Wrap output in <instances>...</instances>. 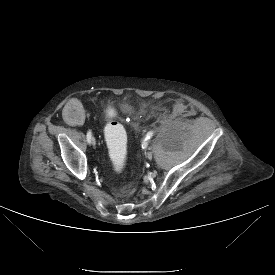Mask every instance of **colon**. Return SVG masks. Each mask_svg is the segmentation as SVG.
<instances>
[{
    "mask_svg": "<svg viewBox=\"0 0 275 275\" xmlns=\"http://www.w3.org/2000/svg\"><path fill=\"white\" fill-rule=\"evenodd\" d=\"M105 134L112 167L115 172H121L127 148L125 132L119 124L109 122L105 127ZM130 189L129 187L128 190Z\"/></svg>",
    "mask_w": 275,
    "mask_h": 275,
    "instance_id": "1",
    "label": "colon"
}]
</instances>
